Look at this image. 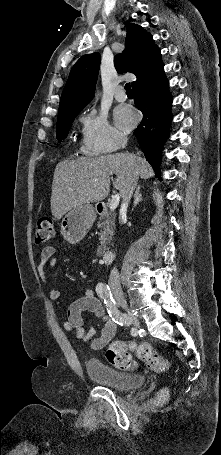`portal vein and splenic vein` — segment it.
Instances as JSON below:
<instances>
[{
    "label": "portal vein and splenic vein",
    "mask_w": 221,
    "mask_h": 455,
    "mask_svg": "<svg viewBox=\"0 0 221 455\" xmlns=\"http://www.w3.org/2000/svg\"><path fill=\"white\" fill-rule=\"evenodd\" d=\"M95 181L97 182L98 179H96ZM119 201H120L119 194L113 195L112 200H111V202L109 204L110 211H114L117 208V206L119 205Z\"/></svg>",
    "instance_id": "18ae733b"
}]
</instances>
